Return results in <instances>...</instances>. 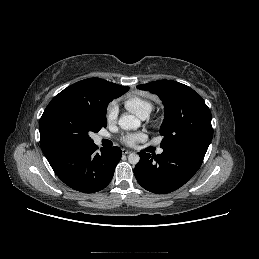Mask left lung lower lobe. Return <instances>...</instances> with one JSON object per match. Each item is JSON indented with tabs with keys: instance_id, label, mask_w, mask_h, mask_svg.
Returning <instances> with one entry per match:
<instances>
[{
	"instance_id": "0a47b994",
	"label": "left lung lower lobe",
	"mask_w": 259,
	"mask_h": 259,
	"mask_svg": "<svg viewBox=\"0 0 259 259\" xmlns=\"http://www.w3.org/2000/svg\"><path fill=\"white\" fill-rule=\"evenodd\" d=\"M134 168L139 184L146 190L165 194L177 190L200 168L205 154L192 149L165 150L160 155L140 152Z\"/></svg>"
}]
</instances>
